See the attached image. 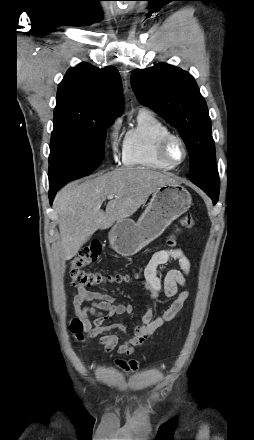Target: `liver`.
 Instances as JSON below:
<instances>
[{
    "instance_id": "1",
    "label": "liver",
    "mask_w": 254,
    "mask_h": 440,
    "mask_svg": "<svg viewBox=\"0 0 254 440\" xmlns=\"http://www.w3.org/2000/svg\"><path fill=\"white\" fill-rule=\"evenodd\" d=\"M165 184H177V181L171 175L152 169L121 168L63 187L54 205L64 259H72L98 229H108L113 223L133 215L159 186ZM109 195L118 198L111 199L104 212L101 205Z\"/></svg>"
}]
</instances>
